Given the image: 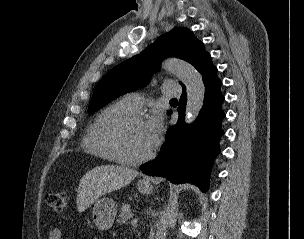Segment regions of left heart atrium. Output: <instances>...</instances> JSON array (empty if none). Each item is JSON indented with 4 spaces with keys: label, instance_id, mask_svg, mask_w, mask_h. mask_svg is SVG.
<instances>
[{
    "label": "left heart atrium",
    "instance_id": "39dd6f15",
    "mask_svg": "<svg viewBox=\"0 0 304 239\" xmlns=\"http://www.w3.org/2000/svg\"><path fill=\"white\" fill-rule=\"evenodd\" d=\"M147 135L150 139V142L153 145L156 144L158 141L162 128L163 123L160 115L154 114L145 124Z\"/></svg>",
    "mask_w": 304,
    "mask_h": 239
}]
</instances>
